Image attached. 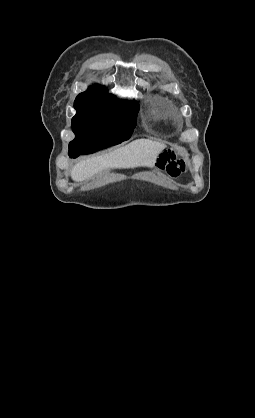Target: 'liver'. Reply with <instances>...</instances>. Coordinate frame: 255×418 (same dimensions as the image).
I'll return each mask as SVG.
<instances>
[{
	"label": "liver",
	"mask_w": 255,
	"mask_h": 418,
	"mask_svg": "<svg viewBox=\"0 0 255 418\" xmlns=\"http://www.w3.org/2000/svg\"><path fill=\"white\" fill-rule=\"evenodd\" d=\"M165 147L162 142L137 139L108 154L80 161L72 168L71 177L74 181L82 182L104 169L152 168Z\"/></svg>",
	"instance_id": "6515ba94"
}]
</instances>
